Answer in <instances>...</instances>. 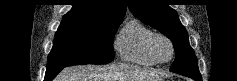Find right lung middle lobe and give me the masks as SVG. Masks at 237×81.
I'll list each match as a JSON object with an SVG mask.
<instances>
[{
  "mask_svg": "<svg viewBox=\"0 0 237 81\" xmlns=\"http://www.w3.org/2000/svg\"><path fill=\"white\" fill-rule=\"evenodd\" d=\"M121 22L62 20L55 34L46 70L110 63L114 59L113 35Z\"/></svg>",
  "mask_w": 237,
  "mask_h": 81,
  "instance_id": "1",
  "label": "right lung middle lobe"
}]
</instances>
